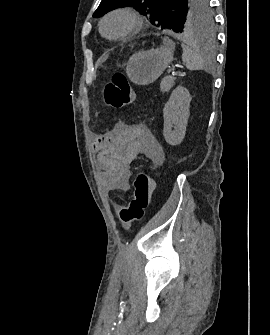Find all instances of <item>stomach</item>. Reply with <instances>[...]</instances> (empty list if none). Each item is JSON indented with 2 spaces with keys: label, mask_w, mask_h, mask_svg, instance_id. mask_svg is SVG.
Masks as SVG:
<instances>
[{
  "label": "stomach",
  "mask_w": 270,
  "mask_h": 335,
  "mask_svg": "<svg viewBox=\"0 0 270 335\" xmlns=\"http://www.w3.org/2000/svg\"><path fill=\"white\" fill-rule=\"evenodd\" d=\"M175 44L166 40L164 46L156 50H140L130 56L126 64V74L138 86H148L155 82L170 62H173Z\"/></svg>",
  "instance_id": "stomach-1"
}]
</instances>
